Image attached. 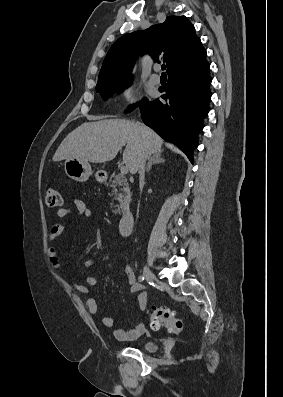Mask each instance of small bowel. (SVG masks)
Here are the masks:
<instances>
[{"label":"small bowel","mask_w":283,"mask_h":397,"mask_svg":"<svg viewBox=\"0 0 283 397\" xmlns=\"http://www.w3.org/2000/svg\"><path fill=\"white\" fill-rule=\"evenodd\" d=\"M73 206L72 207H60L56 210V216L59 219H65L69 216L76 215V216H84L86 218H92L94 216L92 210H90L86 203L79 199H73ZM67 226L66 221H59L55 223L50 230L49 239L55 240L57 239L62 233L64 232ZM47 256L51 266L57 270L58 272H63L62 268V261L60 257V253L57 248L50 247L47 251ZM94 265V260L86 259L83 262V266L85 268H90ZM123 271L126 275L129 290L131 293H137V301H138V309L140 311H144L147 306L148 295L144 291V286L141 283L136 281L135 272L132 267L129 265L123 266ZM99 283V279L95 276H88L84 279L83 283L73 282L72 285L78 292L82 294H90V287L96 286ZM86 307L88 312L91 315H98L99 314V306L95 298L88 297L86 299ZM101 323L106 327H113L114 326V319L109 316H101L100 318ZM146 331V326L144 322H141L134 326L130 330H124L121 328H116L113 331L115 338L119 341H134L141 337Z\"/></svg>","instance_id":"small-bowel-1"}]
</instances>
